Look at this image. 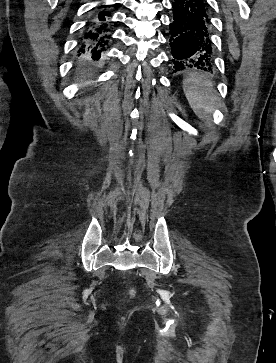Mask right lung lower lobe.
I'll list each match as a JSON object with an SVG mask.
<instances>
[{"label":"right lung lower lobe","instance_id":"obj_1","mask_svg":"<svg viewBox=\"0 0 276 363\" xmlns=\"http://www.w3.org/2000/svg\"><path fill=\"white\" fill-rule=\"evenodd\" d=\"M111 13L107 5H99L93 9V13L85 25L84 32L79 41V52L85 50L93 52L92 58L98 60L106 51V45L111 38Z\"/></svg>","mask_w":276,"mask_h":363}]
</instances>
